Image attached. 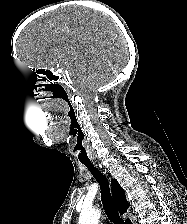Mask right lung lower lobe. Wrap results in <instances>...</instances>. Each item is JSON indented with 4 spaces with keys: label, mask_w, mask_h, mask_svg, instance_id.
Wrapping results in <instances>:
<instances>
[{
    "label": "right lung lower lobe",
    "mask_w": 187,
    "mask_h": 224,
    "mask_svg": "<svg viewBox=\"0 0 187 224\" xmlns=\"http://www.w3.org/2000/svg\"><path fill=\"white\" fill-rule=\"evenodd\" d=\"M126 224H132V223H131V221L129 220V221L126 222Z\"/></svg>",
    "instance_id": "1"
}]
</instances>
